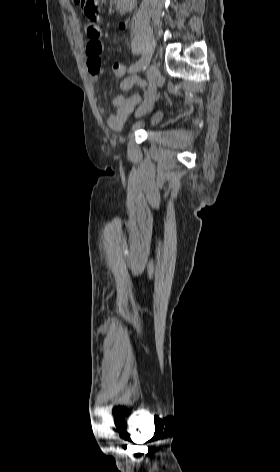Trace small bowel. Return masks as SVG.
Listing matches in <instances>:
<instances>
[{
    "mask_svg": "<svg viewBox=\"0 0 280 472\" xmlns=\"http://www.w3.org/2000/svg\"><path fill=\"white\" fill-rule=\"evenodd\" d=\"M134 6V0H117L116 8L118 11H122L123 14H127L132 10ZM124 28V24H121ZM85 33L88 38L86 45L87 55V70L92 82H97L100 71H101V28L98 21L88 20ZM134 85L143 86L144 82L138 77H125L121 82L120 89L126 91L131 89ZM141 96L138 94L130 95H118L114 98L113 104L115 106L114 112L109 117V124L111 126H117L121 124L132 108L140 101Z\"/></svg>",
    "mask_w": 280,
    "mask_h": 472,
    "instance_id": "1",
    "label": "small bowel"
}]
</instances>
